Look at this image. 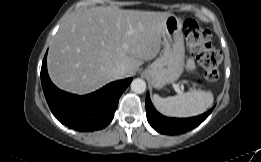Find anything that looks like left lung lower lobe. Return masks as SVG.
Listing matches in <instances>:
<instances>
[{
  "label": "left lung lower lobe",
  "instance_id": "1",
  "mask_svg": "<svg viewBox=\"0 0 261 162\" xmlns=\"http://www.w3.org/2000/svg\"><path fill=\"white\" fill-rule=\"evenodd\" d=\"M213 108L202 115L192 118H169L161 115L152 105L149 94L146 96V111L149 124L159 133L177 135L185 133L202 123Z\"/></svg>",
  "mask_w": 261,
  "mask_h": 162
}]
</instances>
